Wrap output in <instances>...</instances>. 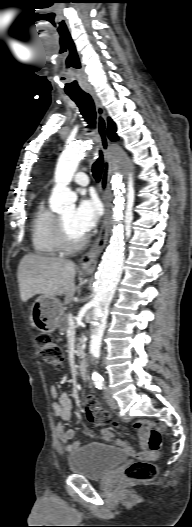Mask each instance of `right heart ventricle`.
<instances>
[{
  "label": "right heart ventricle",
  "instance_id": "right-heart-ventricle-1",
  "mask_svg": "<svg viewBox=\"0 0 192 527\" xmlns=\"http://www.w3.org/2000/svg\"><path fill=\"white\" fill-rule=\"evenodd\" d=\"M31 242L38 255L54 256L61 252L56 235V215L40 203L31 219Z\"/></svg>",
  "mask_w": 192,
  "mask_h": 527
}]
</instances>
